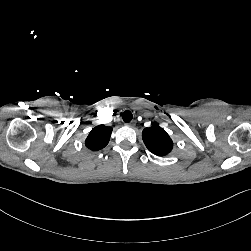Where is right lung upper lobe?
I'll return each instance as SVG.
<instances>
[{
    "label": "right lung upper lobe",
    "instance_id": "right-lung-upper-lobe-1",
    "mask_svg": "<svg viewBox=\"0 0 251 251\" xmlns=\"http://www.w3.org/2000/svg\"><path fill=\"white\" fill-rule=\"evenodd\" d=\"M111 133L112 127L105 125L96 126L91 130L85 140L86 147L92 151H98L104 148L110 140Z\"/></svg>",
    "mask_w": 251,
    "mask_h": 251
}]
</instances>
